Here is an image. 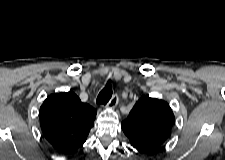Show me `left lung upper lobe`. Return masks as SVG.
<instances>
[{
	"instance_id": "5c2ea615",
	"label": "left lung upper lobe",
	"mask_w": 225,
	"mask_h": 160,
	"mask_svg": "<svg viewBox=\"0 0 225 160\" xmlns=\"http://www.w3.org/2000/svg\"><path fill=\"white\" fill-rule=\"evenodd\" d=\"M173 123L174 114L167 102L142 96L121 126L134 149L152 153L169 138Z\"/></svg>"
}]
</instances>
